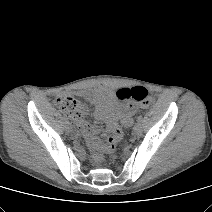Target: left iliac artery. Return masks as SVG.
Wrapping results in <instances>:
<instances>
[{
  "mask_svg": "<svg viewBox=\"0 0 212 212\" xmlns=\"http://www.w3.org/2000/svg\"><path fill=\"white\" fill-rule=\"evenodd\" d=\"M143 121V116L142 115H139L138 117H137V122L138 123H141Z\"/></svg>",
  "mask_w": 212,
  "mask_h": 212,
  "instance_id": "left-iliac-artery-1",
  "label": "left iliac artery"
}]
</instances>
